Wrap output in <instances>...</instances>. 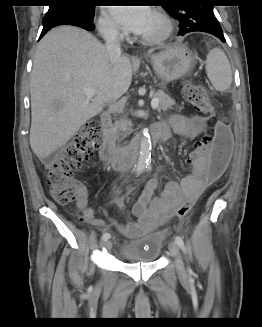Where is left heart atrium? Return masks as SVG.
I'll return each mask as SVG.
<instances>
[{
    "instance_id": "1",
    "label": "left heart atrium",
    "mask_w": 262,
    "mask_h": 327,
    "mask_svg": "<svg viewBox=\"0 0 262 327\" xmlns=\"http://www.w3.org/2000/svg\"><path fill=\"white\" fill-rule=\"evenodd\" d=\"M111 16L124 30L141 33L151 19L152 12L142 5H121L111 8Z\"/></svg>"
}]
</instances>
